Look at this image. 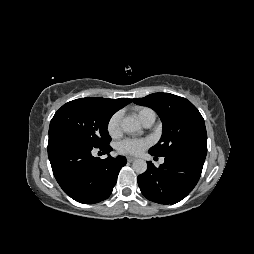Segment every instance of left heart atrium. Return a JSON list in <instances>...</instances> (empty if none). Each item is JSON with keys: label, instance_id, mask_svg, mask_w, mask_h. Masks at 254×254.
<instances>
[{"label": "left heart atrium", "instance_id": "1", "mask_svg": "<svg viewBox=\"0 0 254 254\" xmlns=\"http://www.w3.org/2000/svg\"><path fill=\"white\" fill-rule=\"evenodd\" d=\"M149 142L145 139H125L118 144V151L122 154H140Z\"/></svg>", "mask_w": 254, "mask_h": 254}]
</instances>
